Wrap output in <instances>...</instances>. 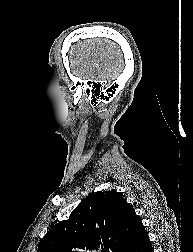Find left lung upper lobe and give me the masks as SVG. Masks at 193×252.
<instances>
[{
    "label": "left lung upper lobe",
    "mask_w": 193,
    "mask_h": 252,
    "mask_svg": "<svg viewBox=\"0 0 193 252\" xmlns=\"http://www.w3.org/2000/svg\"><path fill=\"white\" fill-rule=\"evenodd\" d=\"M140 222L119 192L91 193L47 232L38 252H125Z\"/></svg>",
    "instance_id": "obj_1"
}]
</instances>
